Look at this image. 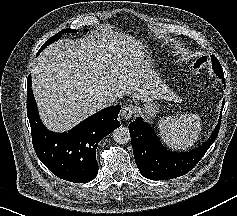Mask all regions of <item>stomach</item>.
<instances>
[{"mask_svg": "<svg viewBox=\"0 0 237 216\" xmlns=\"http://www.w3.org/2000/svg\"><path fill=\"white\" fill-rule=\"evenodd\" d=\"M159 106L157 101H150L141 108V112L146 119H152L159 112Z\"/></svg>", "mask_w": 237, "mask_h": 216, "instance_id": "stomach-1", "label": "stomach"}]
</instances>
